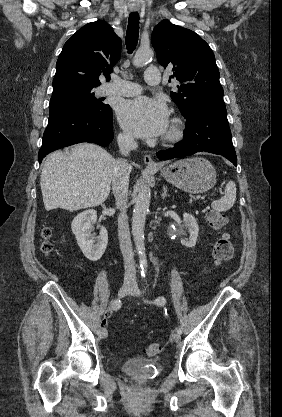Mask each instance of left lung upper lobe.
<instances>
[{
	"label": "left lung upper lobe",
	"mask_w": 282,
	"mask_h": 417,
	"mask_svg": "<svg viewBox=\"0 0 282 417\" xmlns=\"http://www.w3.org/2000/svg\"><path fill=\"white\" fill-rule=\"evenodd\" d=\"M151 41L158 62L170 68L171 78L179 82L171 98L185 118L200 102L223 101L215 56L199 35L163 20L154 28Z\"/></svg>",
	"instance_id": "5c2ea615"
}]
</instances>
